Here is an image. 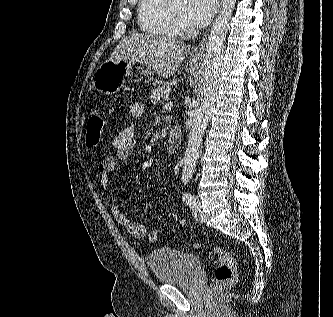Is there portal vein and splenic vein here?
<instances>
[{
	"label": "portal vein and splenic vein",
	"instance_id": "obj_1",
	"mask_svg": "<svg viewBox=\"0 0 333 317\" xmlns=\"http://www.w3.org/2000/svg\"><path fill=\"white\" fill-rule=\"evenodd\" d=\"M172 106H173V102H171V101H167V103L165 104L164 108H165V109H171Z\"/></svg>",
	"mask_w": 333,
	"mask_h": 317
}]
</instances>
